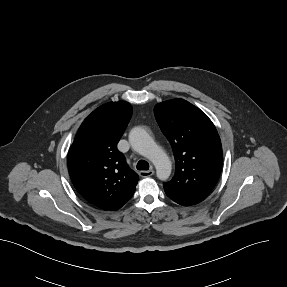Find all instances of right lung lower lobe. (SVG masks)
I'll return each instance as SVG.
<instances>
[{"instance_id": "obj_1", "label": "right lung lower lobe", "mask_w": 287, "mask_h": 287, "mask_svg": "<svg viewBox=\"0 0 287 287\" xmlns=\"http://www.w3.org/2000/svg\"><path fill=\"white\" fill-rule=\"evenodd\" d=\"M132 196H133V195H132ZM132 196H130V197L126 198V199H123V200L117 202L116 204H114V205H112V206H110V207H108V208H106V209H104V210L116 211V210H118L119 208H121L128 200H130Z\"/></svg>"}]
</instances>
